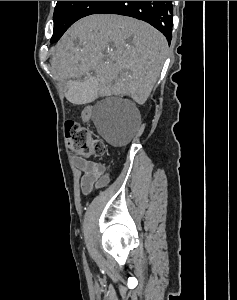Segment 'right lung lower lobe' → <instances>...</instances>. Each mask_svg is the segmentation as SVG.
<instances>
[{
    "label": "right lung lower lobe",
    "mask_w": 237,
    "mask_h": 300,
    "mask_svg": "<svg viewBox=\"0 0 237 300\" xmlns=\"http://www.w3.org/2000/svg\"><path fill=\"white\" fill-rule=\"evenodd\" d=\"M172 1H107L95 14H119L143 20L172 39Z\"/></svg>",
    "instance_id": "obj_1"
}]
</instances>
